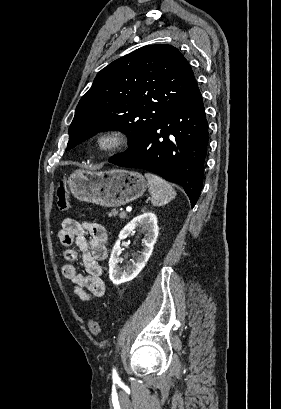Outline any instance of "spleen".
Instances as JSON below:
<instances>
[{"mask_svg": "<svg viewBox=\"0 0 281 409\" xmlns=\"http://www.w3.org/2000/svg\"><path fill=\"white\" fill-rule=\"evenodd\" d=\"M145 176L148 180V190L152 196L151 202L154 207H163L172 198H175L176 190L169 182H166L160 176H156V174H151V172H145Z\"/></svg>", "mask_w": 281, "mask_h": 409, "instance_id": "1", "label": "spleen"}]
</instances>
